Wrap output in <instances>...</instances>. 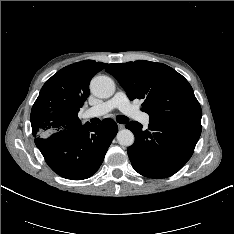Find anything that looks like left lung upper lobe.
Instances as JSON below:
<instances>
[{
	"label": "left lung upper lobe",
	"mask_w": 234,
	"mask_h": 234,
	"mask_svg": "<svg viewBox=\"0 0 234 234\" xmlns=\"http://www.w3.org/2000/svg\"><path fill=\"white\" fill-rule=\"evenodd\" d=\"M131 100L143 99L150 122L201 121L202 111L188 81L171 67L145 60L106 67Z\"/></svg>",
	"instance_id": "5c2ea615"
}]
</instances>
